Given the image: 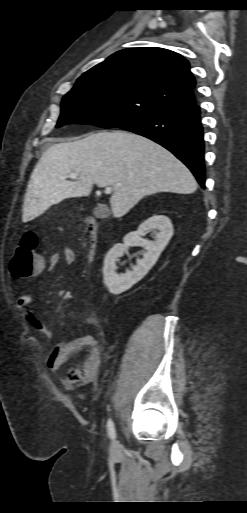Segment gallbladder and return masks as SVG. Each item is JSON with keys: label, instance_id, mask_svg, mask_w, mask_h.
<instances>
[{"label": "gallbladder", "instance_id": "bac80fb5", "mask_svg": "<svg viewBox=\"0 0 247 513\" xmlns=\"http://www.w3.org/2000/svg\"><path fill=\"white\" fill-rule=\"evenodd\" d=\"M102 211H105V209L103 207H98V208H95V210H94V212L97 216H101Z\"/></svg>", "mask_w": 247, "mask_h": 513}]
</instances>
